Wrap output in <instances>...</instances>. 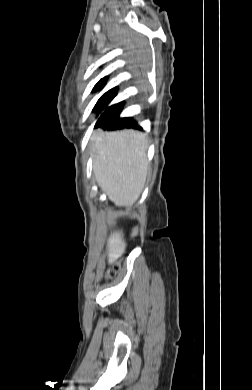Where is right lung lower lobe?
<instances>
[{
    "instance_id": "1",
    "label": "right lung lower lobe",
    "mask_w": 252,
    "mask_h": 390,
    "mask_svg": "<svg viewBox=\"0 0 252 390\" xmlns=\"http://www.w3.org/2000/svg\"><path fill=\"white\" fill-rule=\"evenodd\" d=\"M104 129H123V128H135L142 129L138 126L137 122L131 118H119V116L113 118L109 122L101 125Z\"/></svg>"
}]
</instances>
